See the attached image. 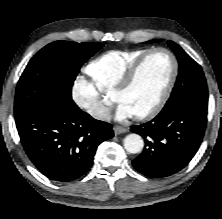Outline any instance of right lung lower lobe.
<instances>
[{
	"mask_svg": "<svg viewBox=\"0 0 222 219\" xmlns=\"http://www.w3.org/2000/svg\"><path fill=\"white\" fill-rule=\"evenodd\" d=\"M21 143L37 169L51 180L71 182L92 166L98 145L114 136L109 123L82 112L71 96L55 95L15 115Z\"/></svg>",
	"mask_w": 222,
	"mask_h": 219,
	"instance_id": "98d812e1",
	"label": "right lung lower lobe"
}]
</instances>
